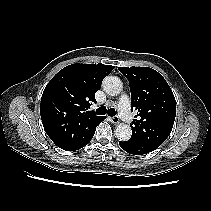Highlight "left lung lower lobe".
Returning <instances> with one entry per match:
<instances>
[{"mask_svg":"<svg viewBox=\"0 0 211 211\" xmlns=\"http://www.w3.org/2000/svg\"><path fill=\"white\" fill-rule=\"evenodd\" d=\"M120 147L126 152L134 155H142L154 151L156 148L146 143H137L133 140L119 142Z\"/></svg>","mask_w":211,"mask_h":211,"instance_id":"1","label":"left lung lower lobe"}]
</instances>
